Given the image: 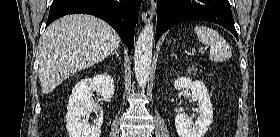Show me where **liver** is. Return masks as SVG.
<instances>
[{"mask_svg": "<svg viewBox=\"0 0 280 137\" xmlns=\"http://www.w3.org/2000/svg\"><path fill=\"white\" fill-rule=\"evenodd\" d=\"M120 37L105 21L86 14L64 16L45 31L40 48L43 94L118 48Z\"/></svg>", "mask_w": 280, "mask_h": 137, "instance_id": "6515ba94", "label": "liver"}]
</instances>
